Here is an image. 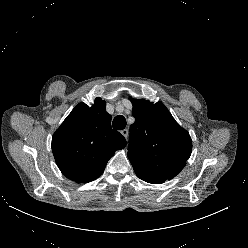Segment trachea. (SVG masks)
Listing matches in <instances>:
<instances>
[{
  "mask_svg": "<svg viewBox=\"0 0 248 248\" xmlns=\"http://www.w3.org/2000/svg\"><path fill=\"white\" fill-rule=\"evenodd\" d=\"M113 128L116 130H123L126 127V119L122 115H118L113 120Z\"/></svg>",
  "mask_w": 248,
  "mask_h": 248,
  "instance_id": "3493384b",
  "label": "trachea"
}]
</instances>
